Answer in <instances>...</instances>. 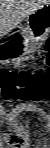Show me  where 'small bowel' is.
<instances>
[{
  "instance_id": "obj_1",
  "label": "small bowel",
  "mask_w": 50,
  "mask_h": 148,
  "mask_svg": "<svg viewBox=\"0 0 50 148\" xmlns=\"http://www.w3.org/2000/svg\"><path fill=\"white\" fill-rule=\"evenodd\" d=\"M21 112H35L41 116H45L46 112L35 105L20 103L10 109L6 113V120L10 127L15 131L16 136L11 139L3 138L0 141L2 147H11V148H28L27 141L29 139V134L24 127L16 124L15 116Z\"/></svg>"
}]
</instances>
